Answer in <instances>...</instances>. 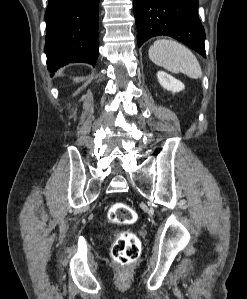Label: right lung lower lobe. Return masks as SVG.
<instances>
[{
	"label": "right lung lower lobe",
	"instance_id": "98d812e1",
	"mask_svg": "<svg viewBox=\"0 0 247 299\" xmlns=\"http://www.w3.org/2000/svg\"><path fill=\"white\" fill-rule=\"evenodd\" d=\"M99 0H48L45 53L50 72L68 63L95 65Z\"/></svg>",
	"mask_w": 247,
	"mask_h": 299
}]
</instances>
